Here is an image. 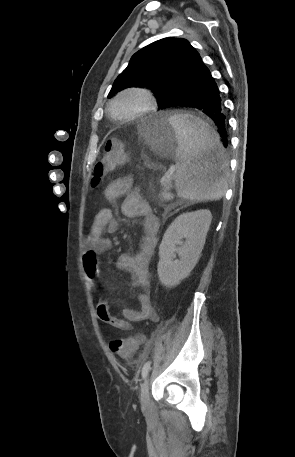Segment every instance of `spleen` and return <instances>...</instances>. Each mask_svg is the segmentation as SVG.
<instances>
[{
  "label": "spleen",
  "mask_w": 295,
  "mask_h": 457,
  "mask_svg": "<svg viewBox=\"0 0 295 457\" xmlns=\"http://www.w3.org/2000/svg\"><path fill=\"white\" fill-rule=\"evenodd\" d=\"M169 119L178 139L174 177L178 196L191 201L219 200L227 189L228 164L218 133L191 114ZM212 154L216 156L210 160Z\"/></svg>",
  "instance_id": "1"
}]
</instances>
